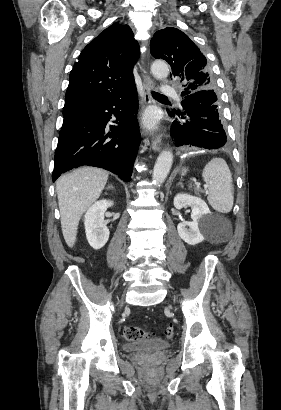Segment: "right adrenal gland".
<instances>
[{
  "label": "right adrenal gland",
  "instance_id": "right-adrenal-gland-1",
  "mask_svg": "<svg viewBox=\"0 0 281 410\" xmlns=\"http://www.w3.org/2000/svg\"><path fill=\"white\" fill-rule=\"evenodd\" d=\"M107 189H114L113 185H109Z\"/></svg>",
  "mask_w": 281,
  "mask_h": 410
}]
</instances>
